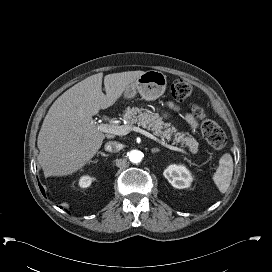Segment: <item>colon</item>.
<instances>
[{"instance_id": "5ec220e1", "label": "colon", "mask_w": 272, "mask_h": 272, "mask_svg": "<svg viewBox=\"0 0 272 272\" xmlns=\"http://www.w3.org/2000/svg\"><path fill=\"white\" fill-rule=\"evenodd\" d=\"M192 86L182 79L176 80L171 86V94L175 99L184 100L190 97ZM193 116L200 120L203 138L214 150H221L226 144V137L217 123L207 118L204 107L199 104L192 106Z\"/></svg>"}]
</instances>
